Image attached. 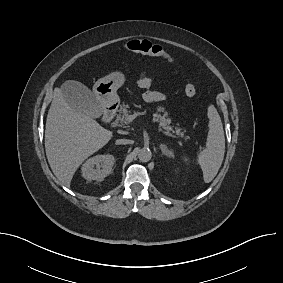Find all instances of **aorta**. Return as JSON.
I'll return each instance as SVG.
<instances>
[{"label": "aorta", "instance_id": "obj_1", "mask_svg": "<svg viewBox=\"0 0 283 283\" xmlns=\"http://www.w3.org/2000/svg\"><path fill=\"white\" fill-rule=\"evenodd\" d=\"M152 157L151 150L149 148H142L138 152V158L141 162H148Z\"/></svg>", "mask_w": 283, "mask_h": 283}]
</instances>
